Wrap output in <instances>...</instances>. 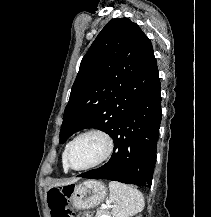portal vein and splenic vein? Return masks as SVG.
<instances>
[{"label":"portal vein and splenic vein","instance_id":"18ae733b","mask_svg":"<svg viewBox=\"0 0 211 217\" xmlns=\"http://www.w3.org/2000/svg\"><path fill=\"white\" fill-rule=\"evenodd\" d=\"M101 208H102V209H107V208H108V206H107V205H105V204H102V205H101Z\"/></svg>","mask_w":211,"mask_h":217}]
</instances>
